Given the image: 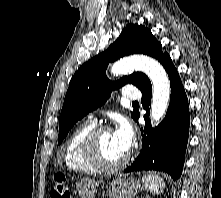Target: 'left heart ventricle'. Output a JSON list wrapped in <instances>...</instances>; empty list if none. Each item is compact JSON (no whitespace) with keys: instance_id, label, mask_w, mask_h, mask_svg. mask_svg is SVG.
<instances>
[{"instance_id":"obj_1","label":"left heart ventricle","mask_w":221,"mask_h":198,"mask_svg":"<svg viewBox=\"0 0 221 198\" xmlns=\"http://www.w3.org/2000/svg\"><path fill=\"white\" fill-rule=\"evenodd\" d=\"M99 147L103 158L110 163L118 162L124 158V153L113 139V132H105L100 136Z\"/></svg>"}]
</instances>
